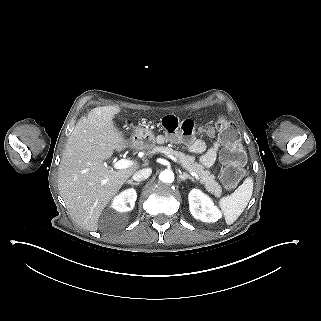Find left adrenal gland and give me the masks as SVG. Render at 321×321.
<instances>
[{
    "label": "left adrenal gland",
    "instance_id": "obj_1",
    "mask_svg": "<svg viewBox=\"0 0 321 321\" xmlns=\"http://www.w3.org/2000/svg\"><path fill=\"white\" fill-rule=\"evenodd\" d=\"M179 179L181 181H186L187 179L191 180L193 183L195 182L194 178L190 177L187 173L179 174Z\"/></svg>",
    "mask_w": 321,
    "mask_h": 321
}]
</instances>
